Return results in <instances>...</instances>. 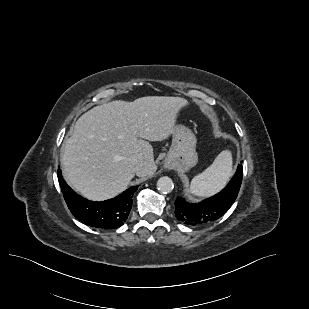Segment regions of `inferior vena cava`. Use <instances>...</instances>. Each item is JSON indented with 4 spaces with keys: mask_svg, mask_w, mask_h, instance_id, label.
Masks as SVG:
<instances>
[{
    "mask_svg": "<svg viewBox=\"0 0 309 309\" xmlns=\"http://www.w3.org/2000/svg\"><path fill=\"white\" fill-rule=\"evenodd\" d=\"M132 163L135 165V171L138 173L141 169V163L137 158H132Z\"/></svg>",
    "mask_w": 309,
    "mask_h": 309,
    "instance_id": "602c4592",
    "label": "inferior vena cava"
}]
</instances>
